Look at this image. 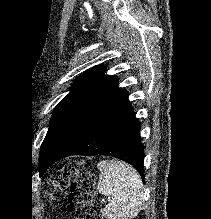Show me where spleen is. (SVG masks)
Instances as JSON below:
<instances>
[{
	"label": "spleen",
	"mask_w": 211,
	"mask_h": 219,
	"mask_svg": "<svg viewBox=\"0 0 211 219\" xmlns=\"http://www.w3.org/2000/svg\"><path fill=\"white\" fill-rule=\"evenodd\" d=\"M100 171L97 190L110 196V203L102 209L107 219H132L143 204V184L137 171L129 164L103 160L97 164Z\"/></svg>",
	"instance_id": "obj_1"
}]
</instances>
